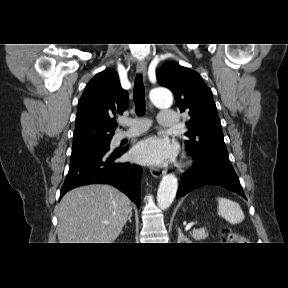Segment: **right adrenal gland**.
<instances>
[{
    "instance_id": "right-adrenal-gland-1",
    "label": "right adrenal gland",
    "mask_w": 288,
    "mask_h": 288,
    "mask_svg": "<svg viewBox=\"0 0 288 288\" xmlns=\"http://www.w3.org/2000/svg\"><path fill=\"white\" fill-rule=\"evenodd\" d=\"M131 217H132V209L130 210V213H129V216H128V221H129L130 223L132 222Z\"/></svg>"
}]
</instances>
